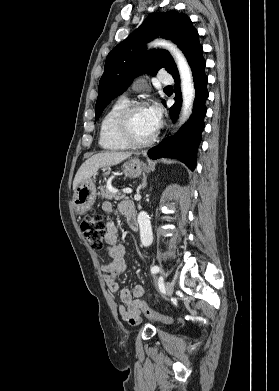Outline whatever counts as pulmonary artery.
I'll return each mask as SVG.
<instances>
[{
  "label": "pulmonary artery",
  "instance_id": "1",
  "mask_svg": "<svg viewBox=\"0 0 279 391\" xmlns=\"http://www.w3.org/2000/svg\"><path fill=\"white\" fill-rule=\"evenodd\" d=\"M159 81L163 84H171L173 82V78L170 74H161Z\"/></svg>",
  "mask_w": 279,
  "mask_h": 391
}]
</instances>
